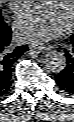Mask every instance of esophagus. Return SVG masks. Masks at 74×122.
<instances>
[{
  "label": "esophagus",
  "mask_w": 74,
  "mask_h": 122,
  "mask_svg": "<svg viewBox=\"0 0 74 122\" xmlns=\"http://www.w3.org/2000/svg\"><path fill=\"white\" fill-rule=\"evenodd\" d=\"M51 47L50 46H46V45H40V44H31L29 45V49L30 52H38V51H45V50H49Z\"/></svg>",
  "instance_id": "34e87169"
}]
</instances>
